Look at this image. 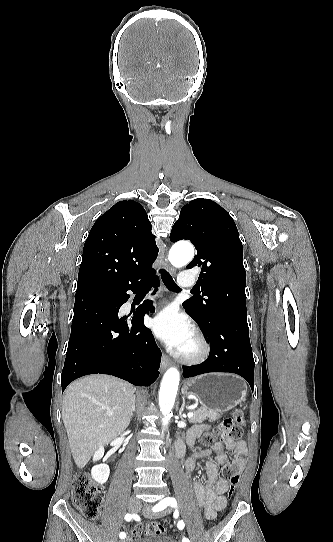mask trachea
I'll return each instance as SVG.
<instances>
[{
    "label": "trachea",
    "instance_id": "obj_1",
    "mask_svg": "<svg viewBox=\"0 0 333 542\" xmlns=\"http://www.w3.org/2000/svg\"><path fill=\"white\" fill-rule=\"evenodd\" d=\"M160 273H161V277H162V280L165 284V286L169 289V290H172V291H179L180 288L178 287V285L174 282V280L172 279L171 275L169 274V272H167L166 270H160ZM151 287L149 285L145 286L144 289H150Z\"/></svg>",
    "mask_w": 333,
    "mask_h": 542
}]
</instances>
